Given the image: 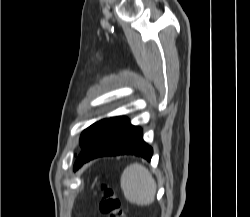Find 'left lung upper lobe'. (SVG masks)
I'll return each instance as SVG.
<instances>
[{
  "label": "left lung upper lobe",
  "mask_w": 250,
  "mask_h": 217,
  "mask_svg": "<svg viewBox=\"0 0 250 217\" xmlns=\"http://www.w3.org/2000/svg\"><path fill=\"white\" fill-rule=\"evenodd\" d=\"M108 120L109 119H103L101 121H98L83 131L80 138V145L82 149Z\"/></svg>",
  "instance_id": "left-lung-upper-lobe-1"
}]
</instances>
